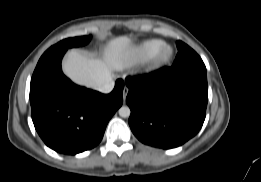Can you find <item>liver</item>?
<instances>
[{"mask_svg": "<svg viewBox=\"0 0 261 182\" xmlns=\"http://www.w3.org/2000/svg\"><path fill=\"white\" fill-rule=\"evenodd\" d=\"M135 50L127 36L111 39L101 59L88 57L77 50H70L62 64L64 73L75 83L96 88L112 79L115 71L128 68Z\"/></svg>", "mask_w": 261, "mask_h": 182, "instance_id": "6515ba94", "label": "liver"}]
</instances>
